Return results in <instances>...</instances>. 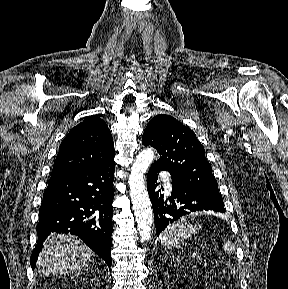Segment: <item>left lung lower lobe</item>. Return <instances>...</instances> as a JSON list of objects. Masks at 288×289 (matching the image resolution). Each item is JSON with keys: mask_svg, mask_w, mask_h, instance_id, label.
<instances>
[{"mask_svg": "<svg viewBox=\"0 0 288 289\" xmlns=\"http://www.w3.org/2000/svg\"><path fill=\"white\" fill-rule=\"evenodd\" d=\"M163 169L152 164L147 176V190L152 203L157 236L171 223L192 211L225 212L223 199L210 192L182 184L176 180L171 181L172 196L164 199L159 194L163 187L158 189V173Z\"/></svg>", "mask_w": 288, "mask_h": 289, "instance_id": "1", "label": "left lung lower lobe"}]
</instances>
